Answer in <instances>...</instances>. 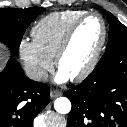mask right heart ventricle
<instances>
[{"instance_id": "e07e8e85", "label": "right heart ventricle", "mask_w": 127, "mask_h": 127, "mask_svg": "<svg viewBox=\"0 0 127 127\" xmlns=\"http://www.w3.org/2000/svg\"><path fill=\"white\" fill-rule=\"evenodd\" d=\"M84 13L82 10H64L44 16L31 30L33 41L45 55L53 59L69 27Z\"/></svg>"}]
</instances>
